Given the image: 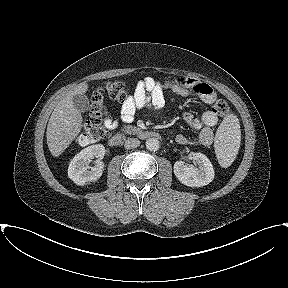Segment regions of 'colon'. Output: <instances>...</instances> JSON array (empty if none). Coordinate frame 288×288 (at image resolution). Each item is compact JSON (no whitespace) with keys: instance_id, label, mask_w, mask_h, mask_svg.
<instances>
[{"instance_id":"obj_1","label":"colon","mask_w":288,"mask_h":288,"mask_svg":"<svg viewBox=\"0 0 288 288\" xmlns=\"http://www.w3.org/2000/svg\"><path fill=\"white\" fill-rule=\"evenodd\" d=\"M105 96L121 104L131 97L125 84L118 80L108 82L104 87L94 91L91 96V119L84 123L79 135V141L82 144L102 141L109 134L107 122L110 120L105 107ZM213 109L221 116H225L229 112V107L223 100H217Z\"/></svg>"}]
</instances>
